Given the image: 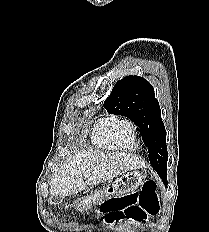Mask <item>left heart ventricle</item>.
Masks as SVG:
<instances>
[{"instance_id": "b2bd125f", "label": "left heart ventricle", "mask_w": 209, "mask_h": 232, "mask_svg": "<svg viewBox=\"0 0 209 232\" xmlns=\"http://www.w3.org/2000/svg\"><path fill=\"white\" fill-rule=\"evenodd\" d=\"M116 135L122 145L128 149H132L135 144L133 141L132 130L127 125H120L116 128Z\"/></svg>"}]
</instances>
